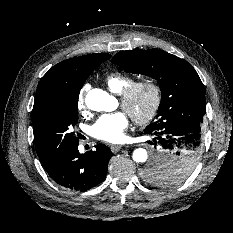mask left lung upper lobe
Listing matches in <instances>:
<instances>
[{
    "instance_id": "5c2ea615",
    "label": "left lung upper lobe",
    "mask_w": 233,
    "mask_h": 233,
    "mask_svg": "<svg viewBox=\"0 0 233 233\" xmlns=\"http://www.w3.org/2000/svg\"><path fill=\"white\" fill-rule=\"evenodd\" d=\"M126 71L158 79L161 102L156 119L146 128L182 118L203 121L206 113L204 86L195 69L185 60L160 49L130 50L117 53L111 60ZM199 156L182 155L167 163L150 162L142 177L152 184H179L194 171Z\"/></svg>"
}]
</instances>
